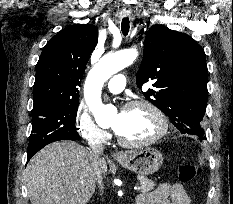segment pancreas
Instances as JSON below:
<instances>
[{
    "label": "pancreas",
    "mask_w": 233,
    "mask_h": 204,
    "mask_svg": "<svg viewBox=\"0 0 233 204\" xmlns=\"http://www.w3.org/2000/svg\"><path fill=\"white\" fill-rule=\"evenodd\" d=\"M138 181L140 183L139 190L142 193H147L149 191H152L156 186V184L152 180L148 179L145 176H138Z\"/></svg>",
    "instance_id": "cf45deb5"
}]
</instances>
